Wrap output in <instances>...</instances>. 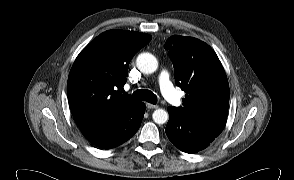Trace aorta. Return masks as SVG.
Returning <instances> with one entry per match:
<instances>
[{
  "label": "aorta",
  "instance_id": "1",
  "mask_svg": "<svg viewBox=\"0 0 294 180\" xmlns=\"http://www.w3.org/2000/svg\"><path fill=\"white\" fill-rule=\"evenodd\" d=\"M136 63L138 69L145 74L155 72L158 67L156 57L147 52L139 54ZM152 118L156 124H164L168 121L169 115L168 112L163 109H156L152 114Z\"/></svg>",
  "mask_w": 294,
  "mask_h": 180
}]
</instances>
